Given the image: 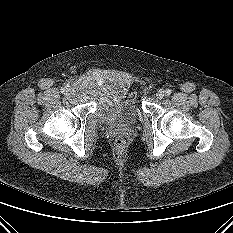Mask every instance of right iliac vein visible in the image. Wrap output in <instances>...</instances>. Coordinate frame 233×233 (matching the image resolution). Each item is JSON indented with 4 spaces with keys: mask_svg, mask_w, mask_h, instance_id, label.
<instances>
[{
    "mask_svg": "<svg viewBox=\"0 0 233 233\" xmlns=\"http://www.w3.org/2000/svg\"><path fill=\"white\" fill-rule=\"evenodd\" d=\"M72 92H73L72 88L68 89V90H67V95H71Z\"/></svg>",
    "mask_w": 233,
    "mask_h": 233,
    "instance_id": "right-iliac-vein-1",
    "label": "right iliac vein"
}]
</instances>
